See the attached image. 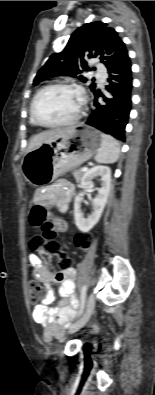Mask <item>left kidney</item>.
<instances>
[{"mask_svg":"<svg viewBox=\"0 0 155 395\" xmlns=\"http://www.w3.org/2000/svg\"><path fill=\"white\" fill-rule=\"evenodd\" d=\"M95 177H101V188L98 189V195L93 199V212L88 218H84L81 210L82 193H79L74 200V219L77 228L82 232H88L91 230L99 221L104 207L107 202V198L110 191L111 185V170L108 166L98 165L94 166L90 170H87L81 179V185L83 189L93 185L92 180Z\"/></svg>","mask_w":155,"mask_h":395,"instance_id":"left-kidney-1","label":"left kidney"}]
</instances>
